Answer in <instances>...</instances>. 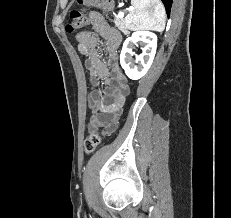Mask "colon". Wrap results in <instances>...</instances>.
<instances>
[{"mask_svg":"<svg viewBox=\"0 0 231 218\" xmlns=\"http://www.w3.org/2000/svg\"><path fill=\"white\" fill-rule=\"evenodd\" d=\"M78 3L81 5L89 7H99L105 11L111 9L110 0H78ZM70 22L66 25L67 32H73L75 29L83 27L86 22V16L79 10H73L69 15ZM101 138L97 132L91 133L85 141V152L87 154L93 153L99 146Z\"/></svg>","mask_w":231,"mask_h":218,"instance_id":"5ec220e1","label":"colon"}]
</instances>
